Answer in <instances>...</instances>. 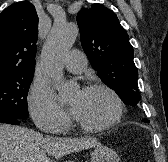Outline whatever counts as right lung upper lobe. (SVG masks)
Listing matches in <instances>:
<instances>
[{"label":"right lung upper lobe","instance_id":"obj_1","mask_svg":"<svg viewBox=\"0 0 168 162\" xmlns=\"http://www.w3.org/2000/svg\"><path fill=\"white\" fill-rule=\"evenodd\" d=\"M38 16L29 2H18L0 14V78L34 71Z\"/></svg>","mask_w":168,"mask_h":162}]
</instances>
